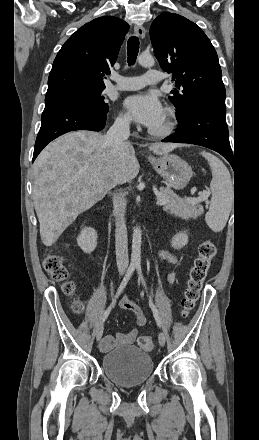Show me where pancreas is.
I'll list each match as a JSON object with an SVG mask.
<instances>
[{"label":"pancreas","instance_id":"obj_1","mask_svg":"<svg viewBox=\"0 0 259 440\" xmlns=\"http://www.w3.org/2000/svg\"><path fill=\"white\" fill-rule=\"evenodd\" d=\"M160 193L162 197L168 199L164 204V210L170 214L180 217L197 218L203 213V206L199 202H188L185 199L178 197L170 188L161 187Z\"/></svg>","mask_w":259,"mask_h":440}]
</instances>
